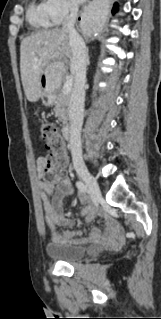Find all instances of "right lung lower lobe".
I'll list each match as a JSON object with an SVG mask.
<instances>
[{"instance_id":"right-lung-lower-lobe-1","label":"right lung lower lobe","mask_w":161,"mask_h":319,"mask_svg":"<svg viewBox=\"0 0 161 319\" xmlns=\"http://www.w3.org/2000/svg\"><path fill=\"white\" fill-rule=\"evenodd\" d=\"M115 11H116V8L114 7L113 10H112V12L114 13Z\"/></svg>"}]
</instances>
